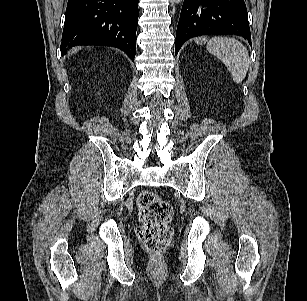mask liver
<instances>
[{"instance_id": "liver-1", "label": "liver", "mask_w": 307, "mask_h": 301, "mask_svg": "<svg viewBox=\"0 0 307 301\" xmlns=\"http://www.w3.org/2000/svg\"><path fill=\"white\" fill-rule=\"evenodd\" d=\"M77 51H78V49L73 50V52H77Z\"/></svg>"}]
</instances>
